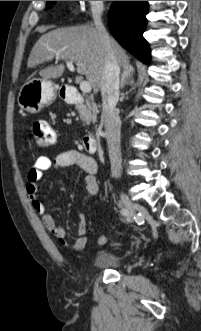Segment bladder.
Returning <instances> with one entry per match:
<instances>
[{
    "label": "bladder",
    "mask_w": 201,
    "mask_h": 331,
    "mask_svg": "<svg viewBox=\"0 0 201 331\" xmlns=\"http://www.w3.org/2000/svg\"><path fill=\"white\" fill-rule=\"evenodd\" d=\"M124 264V257L114 252H99L91 260L93 269H119Z\"/></svg>",
    "instance_id": "31cf9c89"
}]
</instances>
